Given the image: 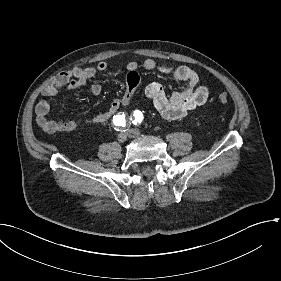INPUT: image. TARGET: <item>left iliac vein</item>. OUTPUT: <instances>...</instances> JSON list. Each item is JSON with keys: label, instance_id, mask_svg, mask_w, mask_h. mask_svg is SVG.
<instances>
[{"label": "left iliac vein", "instance_id": "1", "mask_svg": "<svg viewBox=\"0 0 281 281\" xmlns=\"http://www.w3.org/2000/svg\"><path fill=\"white\" fill-rule=\"evenodd\" d=\"M127 133H128V136L131 138H136V137L140 136V131L137 129H129L127 131Z\"/></svg>", "mask_w": 281, "mask_h": 281}]
</instances>
